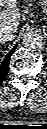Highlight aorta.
I'll return each mask as SVG.
<instances>
[{"label": "aorta", "mask_w": 47, "mask_h": 129, "mask_svg": "<svg viewBox=\"0 0 47 129\" xmlns=\"http://www.w3.org/2000/svg\"><path fill=\"white\" fill-rule=\"evenodd\" d=\"M23 44L31 50L40 49L45 45V38L40 32L32 30L24 35Z\"/></svg>", "instance_id": "1"}]
</instances>
